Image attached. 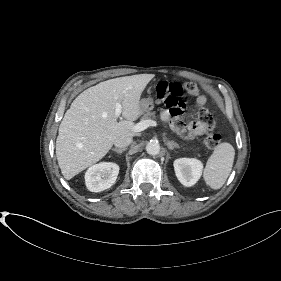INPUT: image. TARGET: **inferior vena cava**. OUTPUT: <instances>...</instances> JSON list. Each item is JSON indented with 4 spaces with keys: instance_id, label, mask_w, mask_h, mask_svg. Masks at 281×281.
Masks as SVG:
<instances>
[{
    "instance_id": "602c4592",
    "label": "inferior vena cava",
    "mask_w": 281,
    "mask_h": 281,
    "mask_svg": "<svg viewBox=\"0 0 281 281\" xmlns=\"http://www.w3.org/2000/svg\"><path fill=\"white\" fill-rule=\"evenodd\" d=\"M132 143V137L121 136L115 139L114 145L118 148H126Z\"/></svg>"
}]
</instances>
